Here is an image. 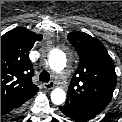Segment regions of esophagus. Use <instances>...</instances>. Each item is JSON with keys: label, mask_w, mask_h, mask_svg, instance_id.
Returning a JSON list of instances; mask_svg holds the SVG:
<instances>
[{"label": "esophagus", "mask_w": 122, "mask_h": 122, "mask_svg": "<svg viewBox=\"0 0 122 122\" xmlns=\"http://www.w3.org/2000/svg\"><path fill=\"white\" fill-rule=\"evenodd\" d=\"M43 86L46 90H51L55 87V84L53 81H50L48 83H44Z\"/></svg>", "instance_id": "obj_1"}]
</instances>
